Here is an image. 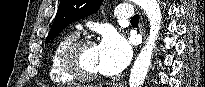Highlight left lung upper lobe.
I'll return each mask as SVG.
<instances>
[{
    "label": "left lung upper lobe",
    "mask_w": 205,
    "mask_h": 87,
    "mask_svg": "<svg viewBox=\"0 0 205 87\" xmlns=\"http://www.w3.org/2000/svg\"><path fill=\"white\" fill-rule=\"evenodd\" d=\"M102 0H61L46 43L58 35L71 22L95 13Z\"/></svg>",
    "instance_id": "left-lung-upper-lobe-1"
}]
</instances>
